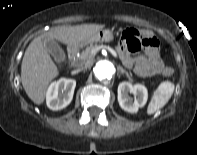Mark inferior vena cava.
<instances>
[{"instance_id":"1","label":"inferior vena cava","mask_w":197,"mask_h":155,"mask_svg":"<svg viewBox=\"0 0 197 155\" xmlns=\"http://www.w3.org/2000/svg\"><path fill=\"white\" fill-rule=\"evenodd\" d=\"M84 69H85V67L81 66V67H80L79 69H77L76 71L79 72V71L84 70Z\"/></svg>"}]
</instances>
